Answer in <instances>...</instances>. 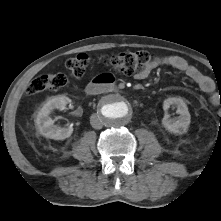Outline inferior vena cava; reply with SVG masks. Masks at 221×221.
<instances>
[{
    "label": "inferior vena cava",
    "instance_id": "inferior-vena-cava-1",
    "mask_svg": "<svg viewBox=\"0 0 221 221\" xmlns=\"http://www.w3.org/2000/svg\"><path fill=\"white\" fill-rule=\"evenodd\" d=\"M90 124L94 129H101L103 127L101 116L98 114H92L90 117Z\"/></svg>",
    "mask_w": 221,
    "mask_h": 221
}]
</instances>
